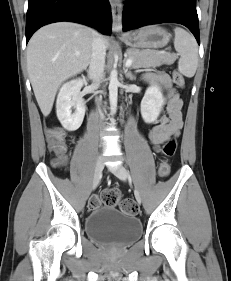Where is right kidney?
Segmentation results:
<instances>
[{
    "mask_svg": "<svg viewBox=\"0 0 231 281\" xmlns=\"http://www.w3.org/2000/svg\"><path fill=\"white\" fill-rule=\"evenodd\" d=\"M85 83V78L73 79L64 83L59 90L56 113L60 123L68 131L77 130L83 122L86 107L80 90ZM72 107L75 109L74 113Z\"/></svg>",
    "mask_w": 231,
    "mask_h": 281,
    "instance_id": "ca27d5eb",
    "label": "right kidney"
}]
</instances>
